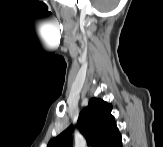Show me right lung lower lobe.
<instances>
[{
    "mask_svg": "<svg viewBox=\"0 0 163 147\" xmlns=\"http://www.w3.org/2000/svg\"><path fill=\"white\" fill-rule=\"evenodd\" d=\"M110 147H122L121 136Z\"/></svg>",
    "mask_w": 163,
    "mask_h": 147,
    "instance_id": "obj_1",
    "label": "right lung lower lobe"
}]
</instances>
